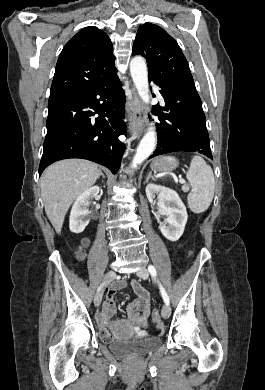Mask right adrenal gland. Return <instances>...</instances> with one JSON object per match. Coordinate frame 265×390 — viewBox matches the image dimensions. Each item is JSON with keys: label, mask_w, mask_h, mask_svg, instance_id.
<instances>
[{"label": "right adrenal gland", "mask_w": 265, "mask_h": 390, "mask_svg": "<svg viewBox=\"0 0 265 390\" xmlns=\"http://www.w3.org/2000/svg\"><path fill=\"white\" fill-rule=\"evenodd\" d=\"M100 176H102L103 179L105 178V175L103 174V172L101 170H99V178H100Z\"/></svg>", "instance_id": "1"}]
</instances>
